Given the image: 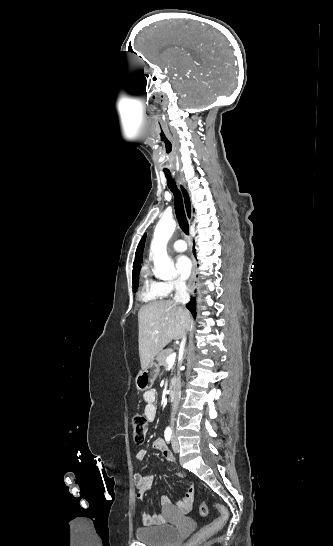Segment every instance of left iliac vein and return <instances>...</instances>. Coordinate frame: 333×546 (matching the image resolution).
I'll return each instance as SVG.
<instances>
[{
    "instance_id": "4c4485c4",
    "label": "left iliac vein",
    "mask_w": 333,
    "mask_h": 546,
    "mask_svg": "<svg viewBox=\"0 0 333 546\" xmlns=\"http://www.w3.org/2000/svg\"><path fill=\"white\" fill-rule=\"evenodd\" d=\"M172 449L175 453L179 452V444L174 434L172 436Z\"/></svg>"
}]
</instances>
